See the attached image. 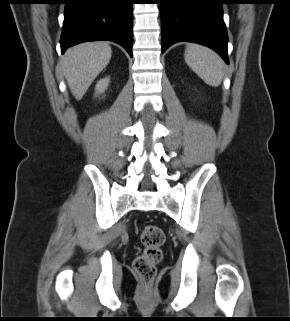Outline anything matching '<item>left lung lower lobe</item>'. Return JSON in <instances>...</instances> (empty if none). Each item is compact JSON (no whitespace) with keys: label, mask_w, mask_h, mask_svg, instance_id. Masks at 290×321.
Masks as SVG:
<instances>
[{"label":"left lung lower lobe","mask_w":290,"mask_h":321,"mask_svg":"<svg viewBox=\"0 0 290 321\" xmlns=\"http://www.w3.org/2000/svg\"><path fill=\"white\" fill-rule=\"evenodd\" d=\"M225 3V0H161L162 53L176 42H195L215 50L229 64L222 8Z\"/></svg>","instance_id":"0a47b994"}]
</instances>
